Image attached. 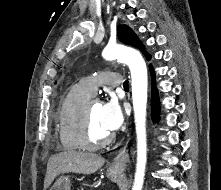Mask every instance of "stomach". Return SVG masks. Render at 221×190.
Listing matches in <instances>:
<instances>
[{
    "mask_svg": "<svg viewBox=\"0 0 221 190\" xmlns=\"http://www.w3.org/2000/svg\"><path fill=\"white\" fill-rule=\"evenodd\" d=\"M107 176L111 178V180L117 181L121 176V172L109 168L107 170ZM70 187H71L70 178L68 176H61L56 180V182L53 184L50 190H70Z\"/></svg>",
    "mask_w": 221,
    "mask_h": 190,
    "instance_id": "obj_1",
    "label": "stomach"
}]
</instances>
